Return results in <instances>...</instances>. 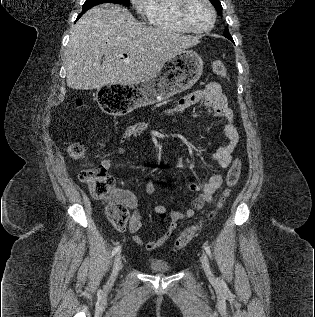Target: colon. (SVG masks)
Returning a JSON list of instances; mask_svg holds the SVG:
<instances>
[{
  "instance_id": "obj_1",
  "label": "colon",
  "mask_w": 315,
  "mask_h": 317,
  "mask_svg": "<svg viewBox=\"0 0 315 317\" xmlns=\"http://www.w3.org/2000/svg\"><path fill=\"white\" fill-rule=\"evenodd\" d=\"M212 69L216 75L222 78L227 77V68L222 61L214 60ZM67 151L73 159H83L87 154L86 147L81 142L69 144ZM241 169V161L235 159L227 172L225 187L216 203L215 209L208 215V219H213L216 213L223 208L231 190L240 179ZM79 177L87 185L94 197L104 201L106 215L112 225L118 230H123L129 219V209L125 200L114 190L113 178L109 175L108 170L101 164H96L82 169ZM199 227V225H194L184 230L176 239L175 248L178 250L185 248L196 235Z\"/></svg>"
}]
</instances>
